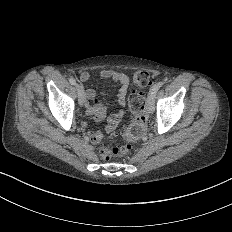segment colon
Returning a JSON list of instances; mask_svg holds the SVG:
<instances>
[{"label": "colon", "instance_id": "obj_1", "mask_svg": "<svg viewBox=\"0 0 232 232\" xmlns=\"http://www.w3.org/2000/svg\"><path fill=\"white\" fill-rule=\"evenodd\" d=\"M151 75V71H135L132 75L133 80L137 82V85L133 88L134 94L129 97L133 107V119L125 128V137L130 143H139L143 139L144 130L147 126L148 107L144 103L142 96L146 93L145 86H151V81H149ZM131 152V147L124 145L118 148H102L99 150L98 155L102 159H119L130 155Z\"/></svg>", "mask_w": 232, "mask_h": 232}]
</instances>
